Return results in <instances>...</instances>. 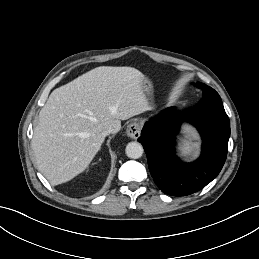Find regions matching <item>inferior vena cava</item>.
I'll return each instance as SVG.
<instances>
[{"label":"inferior vena cava","mask_w":259,"mask_h":259,"mask_svg":"<svg viewBox=\"0 0 259 259\" xmlns=\"http://www.w3.org/2000/svg\"><path fill=\"white\" fill-rule=\"evenodd\" d=\"M114 128H112V127H108V128H106L103 132H102V135L105 137V136H107V135H109V134H111V133H114Z\"/></svg>","instance_id":"inferior-vena-cava-1"}]
</instances>
